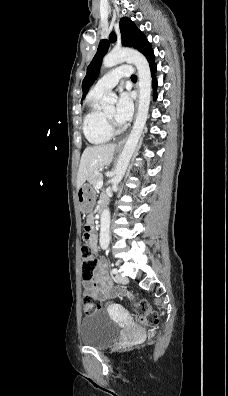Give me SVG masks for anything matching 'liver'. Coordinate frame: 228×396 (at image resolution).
Masks as SVG:
<instances>
[{"label":"liver","mask_w":228,"mask_h":396,"mask_svg":"<svg viewBox=\"0 0 228 396\" xmlns=\"http://www.w3.org/2000/svg\"><path fill=\"white\" fill-rule=\"evenodd\" d=\"M115 148L116 144H102L85 148L77 174V189L95 174L99 168L112 162Z\"/></svg>","instance_id":"1"}]
</instances>
